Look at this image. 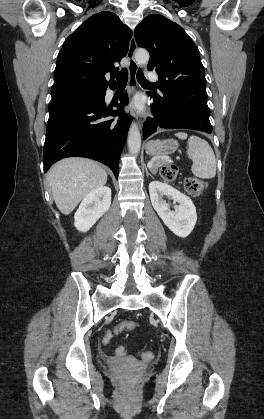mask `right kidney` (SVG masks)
Masks as SVG:
<instances>
[{"label": "right kidney", "instance_id": "right-kidney-1", "mask_svg": "<svg viewBox=\"0 0 264 419\" xmlns=\"http://www.w3.org/2000/svg\"><path fill=\"white\" fill-rule=\"evenodd\" d=\"M111 205V189L102 186L91 191L82 200L74 216V225L81 231H88L104 215Z\"/></svg>", "mask_w": 264, "mask_h": 419}]
</instances>
